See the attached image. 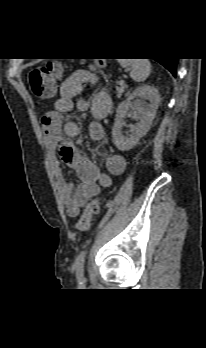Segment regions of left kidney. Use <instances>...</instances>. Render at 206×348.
Wrapping results in <instances>:
<instances>
[{"label": "left kidney", "mask_w": 206, "mask_h": 348, "mask_svg": "<svg viewBox=\"0 0 206 348\" xmlns=\"http://www.w3.org/2000/svg\"><path fill=\"white\" fill-rule=\"evenodd\" d=\"M145 100H148L149 103ZM158 105V90L149 85L138 87L125 101L119 104L112 130L113 141L118 150L132 149L139 139L147 134L155 118ZM128 111L133 118L138 120V123L136 127L130 129V135L126 137L122 134V127Z\"/></svg>", "instance_id": "obj_1"}]
</instances>
